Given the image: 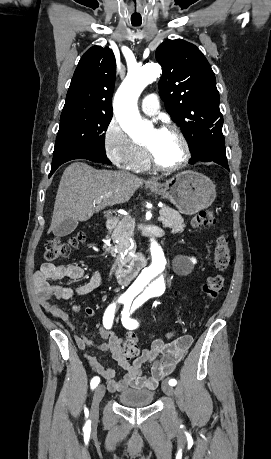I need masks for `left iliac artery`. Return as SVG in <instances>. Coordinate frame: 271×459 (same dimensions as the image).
<instances>
[{"instance_id":"obj_1","label":"left iliac artery","mask_w":271,"mask_h":459,"mask_svg":"<svg viewBox=\"0 0 271 459\" xmlns=\"http://www.w3.org/2000/svg\"><path fill=\"white\" fill-rule=\"evenodd\" d=\"M137 307L136 303H133L132 307H130V305H124L121 321L125 328L132 330L138 327V322L129 318V316L134 314V309ZM176 383L177 381L175 379L169 380V385L171 386H175Z\"/></svg>"}]
</instances>
